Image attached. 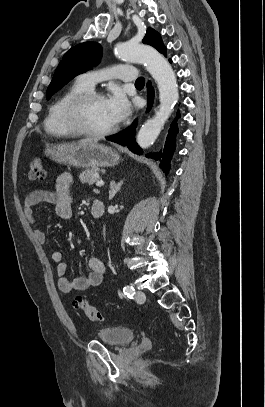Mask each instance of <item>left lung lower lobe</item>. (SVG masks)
I'll return each mask as SVG.
<instances>
[{"label": "left lung lower lobe", "mask_w": 265, "mask_h": 407, "mask_svg": "<svg viewBox=\"0 0 265 407\" xmlns=\"http://www.w3.org/2000/svg\"><path fill=\"white\" fill-rule=\"evenodd\" d=\"M169 61L172 62L171 59ZM147 91H148L147 97H148V110H149L152 106V102L154 99V88L151 86L150 82H148V84H147ZM179 117H180V114L178 113L177 117L175 118V120L173 121V123L169 129L167 141H166L163 153L148 155V157H151L154 159H161V157H162L160 167L166 174H168V170H169V161L172 157L173 152L175 151V135L178 133L176 121L178 120ZM136 125H137V120H135L130 127L125 129L121 133L109 136L106 139L109 141L116 142L120 145L127 146L130 151L140 155L143 152L140 149V147L137 145V143L135 142Z\"/></svg>", "instance_id": "obj_1"}]
</instances>
